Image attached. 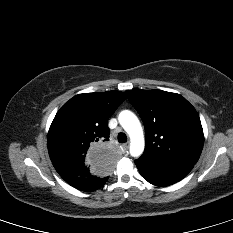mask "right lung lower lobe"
I'll return each instance as SVG.
<instances>
[{
  "label": "right lung lower lobe",
  "mask_w": 233,
  "mask_h": 233,
  "mask_svg": "<svg viewBox=\"0 0 233 233\" xmlns=\"http://www.w3.org/2000/svg\"><path fill=\"white\" fill-rule=\"evenodd\" d=\"M108 180V177H84L72 181H67L71 186L74 188L81 190V191H86V192H91L99 189L102 187L106 181Z\"/></svg>",
  "instance_id": "right-lung-lower-lobe-1"
}]
</instances>
